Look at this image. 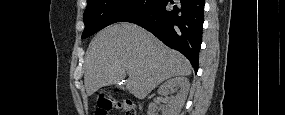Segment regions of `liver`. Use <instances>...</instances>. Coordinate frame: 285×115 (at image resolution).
<instances>
[{"label":"liver","mask_w":285,"mask_h":115,"mask_svg":"<svg viewBox=\"0 0 285 115\" xmlns=\"http://www.w3.org/2000/svg\"><path fill=\"white\" fill-rule=\"evenodd\" d=\"M84 83L90 96L100 88L118 84L129 70V91L144 99L163 81L191 74L189 61L135 24H114L91 41Z\"/></svg>","instance_id":"1"}]
</instances>
